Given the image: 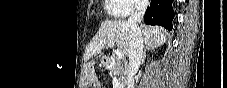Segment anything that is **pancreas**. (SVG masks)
<instances>
[{
    "mask_svg": "<svg viewBox=\"0 0 227 88\" xmlns=\"http://www.w3.org/2000/svg\"><path fill=\"white\" fill-rule=\"evenodd\" d=\"M111 71L119 78L121 85L124 86L127 79V68L124 67L117 58L110 60L109 65Z\"/></svg>",
    "mask_w": 227,
    "mask_h": 88,
    "instance_id": "1",
    "label": "pancreas"
}]
</instances>
